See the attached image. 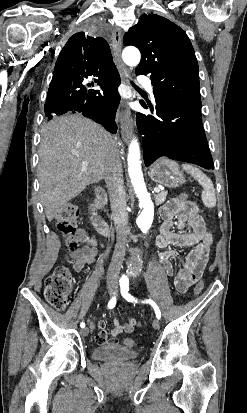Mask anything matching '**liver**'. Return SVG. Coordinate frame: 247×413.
Listing matches in <instances>:
<instances>
[{
    "instance_id": "liver-1",
    "label": "liver",
    "mask_w": 247,
    "mask_h": 413,
    "mask_svg": "<svg viewBox=\"0 0 247 413\" xmlns=\"http://www.w3.org/2000/svg\"><path fill=\"white\" fill-rule=\"evenodd\" d=\"M112 136L81 114L56 116L44 124L37 176L48 221L88 184L102 180Z\"/></svg>"
}]
</instances>
